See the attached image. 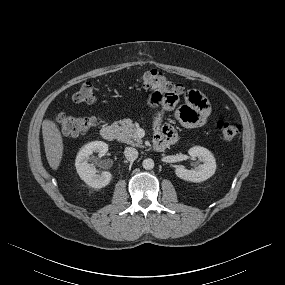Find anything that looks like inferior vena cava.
<instances>
[{
	"instance_id": "1",
	"label": "inferior vena cava",
	"mask_w": 285,
	"mask_h": 285,
	"mask_svg": "<svg viewBox=\"0 0 285 285\" xmlns=\"http://www.w3.org/2000/svg\"><path fill=\"white\" fill-rule=\"evenodd\" d=\"M124 155L127 160L134 161L138 158V151L132 147H126L124 150Z\"/></svg>"
}]
</instances>
